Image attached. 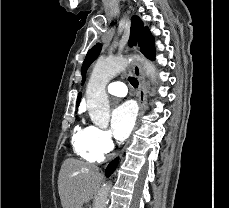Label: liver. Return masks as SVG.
<instances>
[{"instance_id":"1","label":"liver","mask_w":229,"mask_h":208,"mask_svg":"<svg viewBox=\"0 0 229 208\" xmlns=\"http://www.w3.org/2000/svg\"><path fill=\"white\" fill-rule=\"evenodd\" d=\"M104 176L97 166L68 158L61 166L58 190L62 208H82L90 202Z\"/></svg>"}]
</instances>
